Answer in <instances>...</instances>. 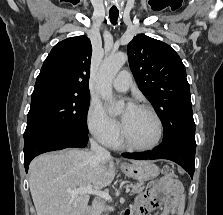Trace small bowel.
<instances>
[{
  "label": "small bowel",
  "instance_id": "1",
  "mask_svg": "<svg viewBox=\"0 0 223 215\" xmlns=\"http://www.w3.org/2000/svg\"><path fill=\"white\" fill-rule=\"evenodd\" d=\"M183 187L167 176L150 183L146 191L136 198L128 215H147L153 208L162 206L161 215H180L184 209Z\"/></svg>",
  "mask_w": 223,
  "mask_h": 215
}]
</instances>
